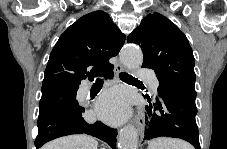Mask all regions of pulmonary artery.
<instances>
[{"label":"pulmonary artery","instance_id":"e3ab8cb5","mask_svg":"<svg viewBox=\"0 0 227 149\" xmlns=\"http://www.w3.org/2000/svg\"><path fill=\"white\" fill-rule=\"evenodd\" d=\"M137 79L147 81L154 90L158 89V80L156 79L154 74L147 68H139L137 70Z\"/></svg>","mask_w":227,"mask_h":149}]
</instances>
